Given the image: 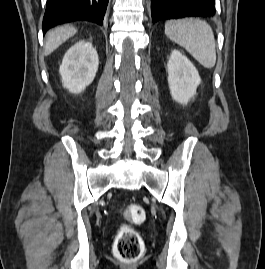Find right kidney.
<instances>
[{
  "instance_id": "ca27d5eb",
  "label": "right kidney",
  "mask_w": 265,
  "mask_h": 269,
  "mask_svg": "<svg viewBox=\"0 0 265 269\" xmlns=\"http://www.w3.org/2000/svg\"><path fill=\"white\" fill-rule=\"evenodd\" d=\"M98 65V54L92 43L77 42L65 53L59 68L63 86L71 93H81L93 82Z\"/></svg>"
}]
</instances>
